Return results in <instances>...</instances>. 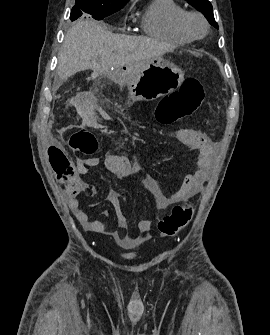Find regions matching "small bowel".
I'll return each instance as SVG.
<instances>
[{"label": "small bowel", "instance_id": "c3829d8e", "mask_svg": "<svg viewBox=\"0 0 270 335\" xmlns=\"http://www.w3.org/2000/svg\"><path fill=\"white\" fill-rule=\"evenodd\" d=\"M191 136V146L199 152L198 168L185 176L181 187L175 193L165 196L159 182L152 177H147L144 181L146 189L159 200L162 207L190 199L200 190L209 176L216 144L201 132H195ZM47 150L45 161H48L49 165H54L52 170L53 173H56V178H63L66 183L69 207L83 228L89 232L116 235L117 231L109 230L104 221L91 219L88 213L80 207L78 199L79 195L88 188V185L81 179V175L86 173L88 168L96 166L99 159L92 157L77 161L72 154H65V149H60L59 144H48ZM105 164L108 170L118 178H127L142 171L140 163H132L128 157L120 154H107ZM107 199L114 210L117 226L120 229L128 228V221L122 208L123 196L116 190H110ZM152 224L153 221L149 218L141 220L138 224L139 232L147 233Z\"/></svg>", "mask_w": 270, "mask_h": 335}]
</instances>
